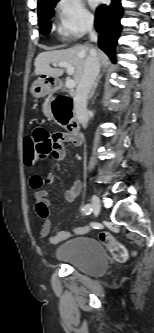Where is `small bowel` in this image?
<instances>
[{"label":"small bowel","mask_w":154,"mask_h":333,"mask_svg":"<svg viewBox=\"0 0 154 333\" xmlns=\"http://www.w3.org/2000/svg\"><path fill=\"white\" fill-rule=\"evenodd\" d=\"M32 138L35 141V149L37 159L51 158L54 162H60L65 157L64 142H72L75 145L80 143V137L76 138L70 131L49 133L44 128L38 127L34 129ZM55 182V176L48 173L45 176L33 175L30 178V186L35 190L36 212L42 220V227L39 230L41 238L47 237L51 229V221L49 218L50 200L48 192L43 189V185H51ZM82 189V184L79 180H75L72 185L65 191L64 197L68 202H73ZM88 231V227L74 228L75 233H84ZM71 232L60 231L56 235L49 237L51 244H58L61 241L69 238Z\"/></svg>","instance_id":"small-bowel-1"}]
</instances>
